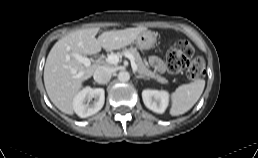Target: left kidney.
Masks as SVG:
<instances>
[{
	"mask_svg": "<svg viewBox=\"0 0 258 158\" xmlns=\"http://www.w3.org/2000/svg\"><path fill=\"white\" fill-rule=\"evenodd\" d=\"M142 99L148 109L159 114L164 113L169 104V94L164 90H143Z\"/></svg>",
	"mask_w": 258,
	"mask_h": 158,
	"instance_id": "left-kidney-1",
	"label": "left kidney"
}]
</instances>
